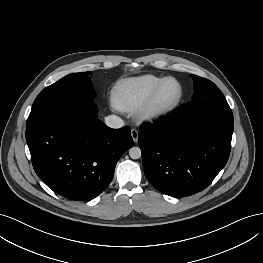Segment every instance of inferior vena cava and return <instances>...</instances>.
Returning <instances> with one entry per match:
<instances>
[{
  "mask_svg": "<svg viewBox=\"0 0 263 263\" xmlns=\"http://www.w3.org/2000/svg\"><path fill=\"white\" fill-rule=\"evenodd\" d=\"M105 124L113 129H119L124 126L123 120L116 115H109L105 118Z\"/></svg>",
  "mask_w": 263,
  "mask_h": 263,
  "instance_id": "1",
  "label": "inferior vena cava"
}]
</instances>
